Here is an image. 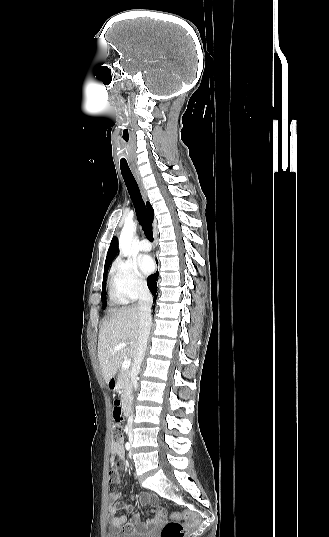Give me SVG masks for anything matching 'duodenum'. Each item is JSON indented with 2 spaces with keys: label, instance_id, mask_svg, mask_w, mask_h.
Here are the masks:
<instances>
[{
  "label": "duodenum",
  "instance_id": "1",
  "mask_svg": "<svg viewBox=\"0 0 329 537\" xmlns=\"http://www.w3.org/2000/svg\"><path fill=\"white\" fill-rule=\"evenodd\" d=\"M116 386H117V381L115 378H112L109 380L108 382V388L110 390H115L116 389ZM120 408L122 409V412L124 415H127L129 413V405L127 402H122L120 404Z\"/></svg>",
  "mask_w": 329,
  "mask_h": 537
}]
</instances>
